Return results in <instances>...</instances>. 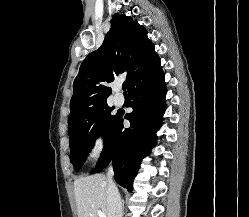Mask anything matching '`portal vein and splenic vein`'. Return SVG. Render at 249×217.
Returning <instances> with one entry per match:
<instances>
[{"mask_svg":"<svg viewBox=\"0 0 249 217\" xmlns=\"http://www.w3.org/2000/svg\"><path fill=\"white\" fill-rule=\"evenodd\" d=\"M97 214L99 217H106V215L100 210L97 211Z\"/></svg>","mask_w":249,"mask_h":217,"instance_id":"obj_1","label":"portal vein and splenic vein"}]
</instances>
